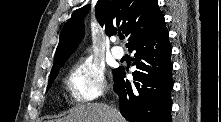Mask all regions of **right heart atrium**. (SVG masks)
Returning <instances> with one entry per match:
<instances>
[{
    "label": "right heart atrium",
    "instance_id": "d8ad5b80",
    "mask_svg": "<svg viewBox=\"0 0 221 122\" xmlns=\"http://www.w3.org/2000/svg\"><path fill=\"white\" fill-rule=\"evenodd\" d=\"M68 83L75 102L93 101L108 88L103 66L89 59L82 60L72 67Z\"/></svg>",
    "mask_w": 221,
    "mask_h": 122
}]
</instances>
